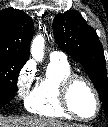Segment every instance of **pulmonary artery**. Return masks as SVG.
Segmentation results:
<instances>
[{
  "instance_id": "obj_1",
  "label": "pulmonary artery",
  "mask_w": 108,
  "mask_h": 127,
  "mask_svg": "<svg viewBox=\"0 0 108 127\" xmlns=\"http://www.w3.org/2000/svg\"><path fill=\"white\" fill-rule=\"evenodd\" d=\"M50 60L67 61V57L63 52L53 51L50 54Z\"/></svg>"
}]
</instances>
